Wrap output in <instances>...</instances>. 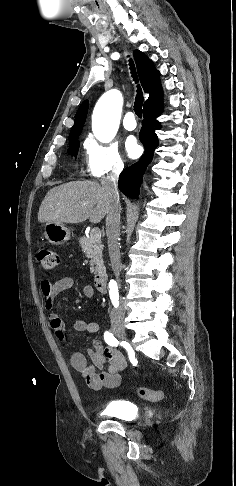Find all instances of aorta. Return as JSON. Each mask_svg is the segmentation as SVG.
<instances>
[{"label":"aorta","instance_id":"1","mask_svg":"<svg viewBox=\"0 0 236 486\" xmlns=\"http://www.w3.org/2000/svg\"><path fill=\"white\" fill-rule=\"evenodd\" d=\"M122 95L118 90L106 92L97 102L93 117L92 131L94 136L103 143L110 142L116 135L121 115ZM111 296L118 294L117 283L109 282Z\"/></svg>","mask_w":236,"mask_h":486}]
</instances>
